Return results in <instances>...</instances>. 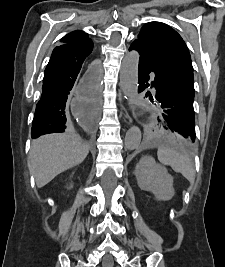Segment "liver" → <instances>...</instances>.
<instances>
[{
  "label": "liver",
  "mask_w": 225,
  "mask_h": 267,
  "mask_svg": "<svg viewBox=\"0 0 225 267\" xmlns=\"http://www.w3.org/2000/svg\"><path fill=\"white\" fill-rule=\"evenodd\" d=\"M88 153V145L77 134L45 135L32 142L28 168L41 188L58 174L82 163Z\"/></svg>",
  "instance_id": "liver-1"
}]
</instances>
